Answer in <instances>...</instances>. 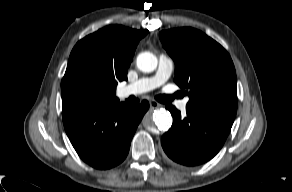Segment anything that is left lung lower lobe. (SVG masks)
<instances>
[{"label":"left lung lower lobe","mask_w":292,"mask_h":192,"mask_svg":"<svg viewBox=\"0 0 292 192\" xmlns=\"http://www.w3.org/2000/svg\"><path fill=\"white\" fill-rule=\"evenodd\" d=\"M172 127L162 136L167 156L177 164L196 166L213 158L223 146L234 119L187 111L185 118L172 105Z\"/></svg>","instance_id":"1"}]
</instances>
